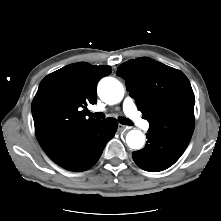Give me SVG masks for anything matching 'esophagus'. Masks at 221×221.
<instances>
[{"label":"esophagus","instance_id":"34e87169","mask_svg":"<svg viewBox=\"0 0 221 221\" xmlns=\"http://www.w3.org/2000/svg\"><path fill=\"white\" fill-rule=\"evenodd\" d=\"M126 129H129V127H126V126H124V125H122V124H119V125H118V130H119V131L126 130Z\"/></svg>","mask_w":221,"mask_h":221}]
</instances>
